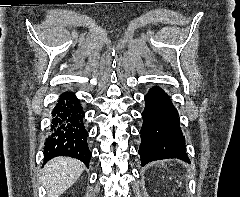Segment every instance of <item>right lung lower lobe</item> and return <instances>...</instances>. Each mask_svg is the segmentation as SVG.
<instances>
[{
    "instance_id": "obj_1",
    "label": "right lung lower lobe",
    "mask_w": 240,
    "mask_h": 197,
    "mask_svg": "<svg viewBox=\"0 0 240 197\" xmlns=\"http://www.w3.org/2000/svg\"><path fill=\"white\" fill-rule=\"evenodd\" d=\"M83 118L84 112L75 94L63 93L52 111L50 132L44 143L45 162L53 157L69 156L89 165L91 152Z\"/></svg>"
}]
</instances>
